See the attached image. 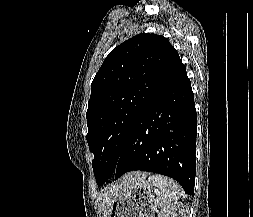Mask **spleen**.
Listing matches in <instances>:
<instances>
[{
	"label": "spleen",
	"instance_id": "obj_1",
	"mask_svg": "<svg viewBox=\"0 0 253 217\" xmlns=\"http://www.w3.org/2000/svg\"><path fill=\"white\" fill-rule=\"evenodd\" d=\"M148 182L156 188L155 192L158 198L155 203L161 209H165L172 205L182 194L180 185L166 176L151 174L148 177Z\"/></svg>",
	"mask_w": 253,
	"mask_h": 217
}]
</instances>
